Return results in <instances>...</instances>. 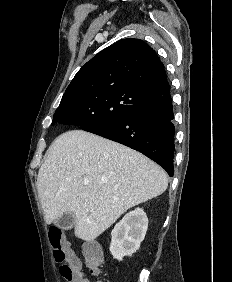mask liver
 Wrapping results in <instances>:
<instances>
[{"label": "liver", "instance_id": "6515ba94", "mask_svg": "<svg viewBox=\"0 0 232 282\" xmlns=\"http://www.w3.org/2000/svg\"><path fill=\"white\" fill-rule=\"evenodd\" d=\"M165 171L143 154L83 130L59 135L38 172L44 219L75 215V236L93 241L129 208L161 195Z\"/></svg>", "mask_w": 232, "mask_h": 282}]
</instances>
